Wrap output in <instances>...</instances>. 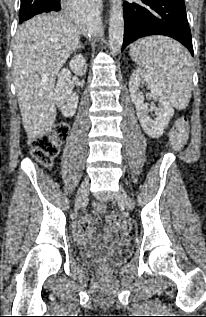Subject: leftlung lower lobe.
Masks as SVG:
<instances>
[{
  "instance_id": "left-lung-lower-lobe-1",
  "label": "left lung lower lobe",
  "mask_w": 206,
  "mask_h": 317,
  "mask_svg": "<svg viewBox=\"0 0 206 317\" xmlns=\"http://www.w3.org/2000/svg\"><path fill=\"white\" fill-rule=\"evenodd\" d=\"M125 35L122 50L149 35L172 37L193 55L192 39L184 0H138L124 2Z\"/></svg>"
}]
</instances>
